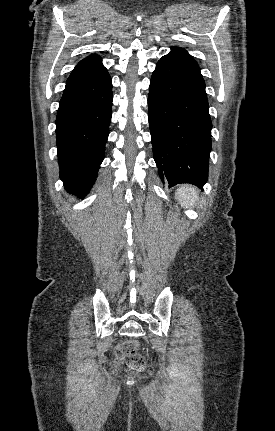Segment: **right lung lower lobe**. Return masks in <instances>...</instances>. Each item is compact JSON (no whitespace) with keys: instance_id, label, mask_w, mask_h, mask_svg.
<instances>
[{"instance_id":"98d812e1","label":"right lung lower lobe","mask_w":275,"mask_h":431,"mask_svg":"<svg viewBox=\"0 0 275 431\" xmlns=\"http://www.w3.org/2000/svg\"><path fill=\"white\" fill-rule=\"evenodd\" d=\"M112 82L106 69L67 82L56 118L60 178L82 197L104 159L112 110Z\"/></svg>"}]
</instances>
